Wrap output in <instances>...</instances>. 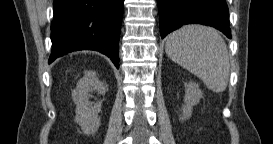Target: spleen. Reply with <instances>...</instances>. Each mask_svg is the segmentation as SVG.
Here are the masks:
<instances>
[{
    "mask_svg": "<svg viewBox=\"0 0 273 144\" xmlns=\"http://www.w3.org/2000/svg\"><path fill=\"white\" fill-rule=\"evenodd\" d=\"M168 57L200 78L216 93L223 92L229 78L227 46L211 27L187 25L172 32L166 40Z\"/></svg>",
    "mask_w": 273,
    "mask_h": 144,
    "instance_id": "spleen-1",
    "label": "spleen"
}]
</instances>
